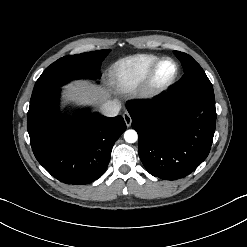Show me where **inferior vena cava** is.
Instances as JSON below:
<instances>
[{"mask_svg":"<svg viewBox=\"0 0 247 247\" xmlns=\"http://www.w3.org/2000/svg\"><path fill=\"white\" fill-rule=\"evenodd\" d=\"M121 109V104L117 100H108L100 108L103 115L107 117H115Z\"/></svg>","mask_w":247,"mask_h":247,"instance_id":"602c4592","label":"inferior vena cava"}]
</instances>
